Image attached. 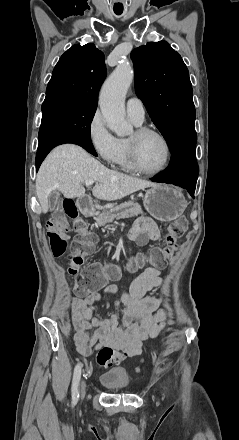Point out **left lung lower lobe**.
Masks as SVG:
<instances>
[{
  "instance_id": "0a47b994",
  "label": "left lung lower lobe",
  "mask_w": 239,
  "mask_h": 440,
  "mask_svg": "<svg viewBox=\"0 0 239 440\" xmlns=\"http://www.w3.org/2000/svg\"><path fill=\"white\" fill-rule=\"evenodd\" d=\"M197 137L189 138L178 143L171 150L172 157L168 170L157 177L151 178L154 182L174 184L187 189L192 197L198 178V164L195 147Z\"/></svg>"
}]
</instances>
